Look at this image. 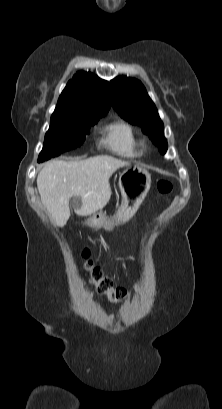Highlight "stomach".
Here are the masks:
<instances>
[{
    "label": "stomach",
    "mask_w": 222,
    "mask_h": 409,
    "mask_svg": "<svg viewBox=\"0 0 222 409\" xmlns=\"http://www.w3.org/2000/svg\"><path fill=\"white\" fill-rule=\"evenodd\" d=\"M151 186L149 172L139 166H129L119 177V188L123 201L112 217L105 214L94 216L84 222L90 227L112 230L116 225L126 223L137 212Z\"/></svg>",
    "instance_id": "1"
}]
</instances>
